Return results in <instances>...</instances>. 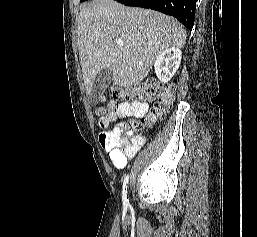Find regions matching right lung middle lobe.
Here are the masks:
<instances>
[{"instance_id": "obj_1", "label": "right lung middle lobe", "mask_w": 257, "mask_h": 237, "mask_svg": "<svg viewBox=\"0 0 257 237\" xmlns=\"http://www.w3.org/2000/svg\"><path fill=\"white\" fill-rule=\"evenodd\" d=\"M81 2H84V1H86V0H80Z\"/></svg>"}]
</instances>
